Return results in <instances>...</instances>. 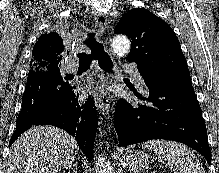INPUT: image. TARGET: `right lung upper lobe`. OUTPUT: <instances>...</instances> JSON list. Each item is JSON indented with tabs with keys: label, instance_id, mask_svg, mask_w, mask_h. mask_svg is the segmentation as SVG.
<instances>
[{
	"label": "right lung upper lobe",
	"instance_id": "right-lung-upper-lobe-1",
	"mask_svg": "<svg viewBox=\"0 0 219 173\" xmlns=\"http://www.w3.org/2000/svg\"><path fill=\"white\" fill-rule=\"evenodd\" d=\"M65 54L63 39L55 32L42 35L32 51L30 67H42L47 64H60Z\"/></svg>",
	"mask_w": 219,
	"mask_h": 173
}]
</instances>
